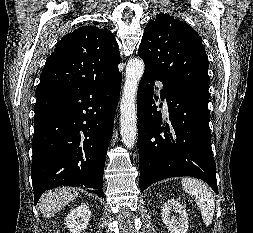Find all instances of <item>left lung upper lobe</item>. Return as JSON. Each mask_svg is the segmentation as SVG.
Segmentation results:
<instances>
[{"instance_id": "1", "label": "left lung upper lobe", "mask_w": 253, "mask_h": 233, "mask_svg": "<svg viewBox=\"0 0 253 233\" xmlns=\"http://www.w3.org/2000/svg\"><path fill=\"white\" fill-rule=\"evenodd\" d=\"M138 55L145 71L155 75L163 86L180 90L208 89V57L202 39L187 23L160 13L144 29Z\"/></svg>"}]
</instances>
